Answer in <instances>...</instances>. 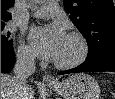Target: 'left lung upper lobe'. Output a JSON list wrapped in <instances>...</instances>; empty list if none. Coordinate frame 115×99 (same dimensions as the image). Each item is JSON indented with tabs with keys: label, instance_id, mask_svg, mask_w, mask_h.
<instances>
[{
	"label": "left lung upper lobe",
	"instance_id": "5c2ea615",
	"mask_svg": "<svg viewBox=\"0 0 115 99\" xmlns=\"http://www.w3.org/2000/svg\"><path fill=\"white\" fill-rule=\"evenodd\" d=\"M71 21L88 43L92 60L115 53V7L112 0H63Z\"/></svg>",
	"mask_w": 115,
	"mask_h": 99
}]
</instances>
